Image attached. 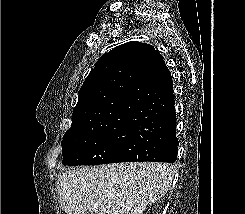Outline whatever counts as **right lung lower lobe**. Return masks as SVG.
Segmentation results:
<instances>
[{"instance_id":"98d812e1","label":"right lung lower lobe","mask_w":245,"mask_h":214,"mask_svg":"<svg viewBox=\"0 0 245 214\" xmlns=\"http://www.w3.org/2000/svg\"><path fill=\"white\" fill-rule=\"evenodd\" d=\"M138 105L141 112L127 125L128 132L118 147L117 162H175L179 142L172 77L168 69L164 88L156 94H142Z\"/></svg>"}]
</instances>
